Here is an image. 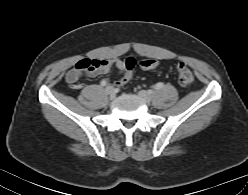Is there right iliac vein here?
<instances>
[{
    "label": "right iliac vein",
    "instance_id": "1",
    "mask_svg": "<svg viewBox=\"0 0 248 195\" xmlns=\"http://www.w3.org/2000/svg\"><path fill=\"white\" fill-rule=\"evenodd\" d=\"M105 91L110 96L111 99L115 98L116 94H115L114 88L112 86H107L105 88Z\"/></svg>",
    "mask_w": 248,
    "mask_h": 195
}]
</instances>
